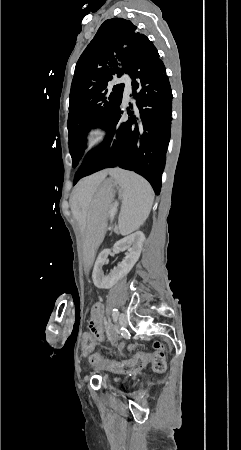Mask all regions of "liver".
I'll return each mask as SVG.
<instances>
[{"label":"liver","mask_w":241,"mask_h":450,"mask_svg":"<svg viewBox=\"0 0 241 450\" xmlns=\"http://www.w3.org/2000/svg\"><path fill=\"white\" fill-rule=\"evenodd\" d=\"M108 174H110V170H102V172H97V174H93V176H88V178L80 180L72 192V210L84 206L83 212H86L98 186H100L101 182L105 180Z\"/></svg>","instance_id":"liver-1"}]
</instances>
